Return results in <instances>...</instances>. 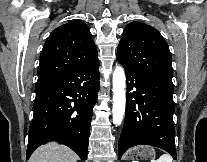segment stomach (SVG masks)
<instances>
[{
    "mask_svg": "<svg viewBox=\"0 0 207 162\" xmlns=\"http://www.w3.org/2000/svg\"><path fill=\"white\" fill-rule=\"evenodd\" d=\"M128 157H136L141 160L152 159L155 157V151L150 146H139L134 148L132 152H129Z\"/></svg>",
    "mask_w": 207,
    "mask_h": 162,
    "instance_id": "obj_1",
    "label": "stomach"
}]
</instances>
